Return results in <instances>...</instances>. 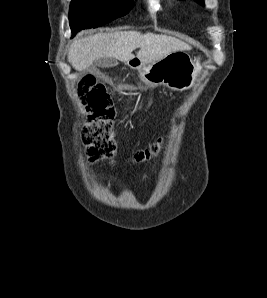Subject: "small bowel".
Listing matches in <instances>:
<instances>
[{"label":"small bowel","instance_id":"c3829d8e","mask_svg":"<svg viewBox=\"0 0 267 298\" xmlns=\"http://www.w3.org/2000/svg\"><path fill=\"white\" fill-rule=\"evenodd\" d=\"M89 134V133H88ZM89 136H90V138L92 139V140H94V138L89 134Z\"/></svg>","mask_w":267,"mask_h":298}]
</instances>
